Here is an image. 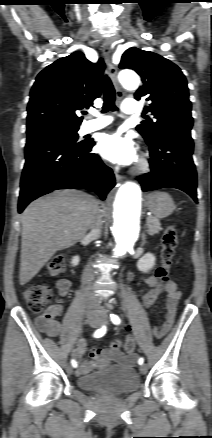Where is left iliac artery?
<instances>
[{
  "label": "left iliac artery",
  "instance_id": "obj_1",
  "mask_svg": "<svg viewBox=\"0 0 212 438\" xmlns=\"http://www.w3.org/2000/svg\"><path fill=\"white\" fill-rule=\"evenodd\" d=\"M110 319H111V321H112L114 324H116V325L120 324V322H121L120 318H119L117 315H115V314H111V315H110ZM138 363H139V365H142V364L144 363V359H143V358H140V359L138 360Z\"/></svg>",
  "mask_w": 212,
  "mask_h": 438
}]
</instances>
